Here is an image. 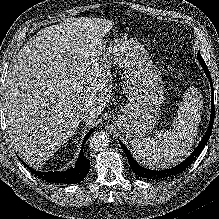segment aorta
<instances>
[{
	"label": "aorta",
	"instance_id": "obj_1",
	"mask_svg": "<svg viewBox=\"0 0 219 219\" xmlns=\"http://www.w3.org/2000/svg\"><path fill=\"white\" fill-rule=\"evenodd\" d=\"M109 144V135L103 131L94 133L89 139V146L94 151L104 150Z\"/></svg>",
	"mask_w": 219,
	"mask_h": 219
}]
</instances>
